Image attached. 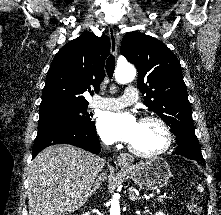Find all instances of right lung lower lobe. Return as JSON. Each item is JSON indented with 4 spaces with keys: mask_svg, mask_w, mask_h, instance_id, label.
Returning a JSON list of instances; mask_svg holds the SVG:
<instances>
[{
    "mask_svg": "<svg viewBox=\"0 0 221 215\" xmlns=\"http://www.w3.org/2000/svg\"><path fill=\"white\" fill-rule=\"evenodd\" d=\"M55 144H71L94 154L101 151L93 122L82 127L62 126L39 131L34 142L32 158L44 148Z\"/></svg>",
    "mask_w": 221,
    "mask_h": 215,
    "instance_id": "1",
    "label": "right lung lower lobe"
}]
</instances>
